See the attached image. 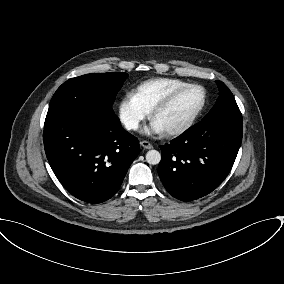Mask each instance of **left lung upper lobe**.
I'll use <instances>...</instances> for the list:
<instances>
[{
	"label": "left lung upper lobe",
	"instance_id": "left-lung-upper-lobe-1",
	"mask_svg": "<svg viewBox=\"0 0 284 284\" xmlns=\"http://www.w3.org/2000/svg\"><path fill=\"white\" fill-rule=\"evenodd\" d=\"M216 82L219 87L220 95L214 107L202 119V121H207L220 117L242 118L238 105L229 88L221 81Z\"/></svg>",
	"mask_w": 284,
	"mask_h": 284
}]
</instances>
